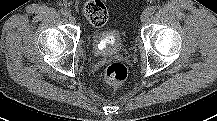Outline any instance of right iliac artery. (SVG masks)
<instances>
[{
	"mask_svg": "<svg viewBox=\"0 0 217 121\" xmlns=\"http://www.w3.org/2000/svg\"><path fill=\"white\" fill-rule=\"evenodd\" d=\"M61 14L64 15V16H69L70 11L68 9H61Z\"/></svg>",
	"mask_w": 217,
	"mask_h": 121,
	"instance_id": "82829eb1",
	"label": "right iliac artery"
}]
</instances>
